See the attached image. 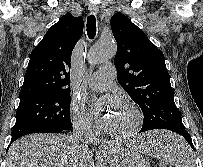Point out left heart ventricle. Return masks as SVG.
I'll return each instance as SVG.
<instances>
[{
    "label": "left heart ventricle",
    "instance_id": "left-heart-ventricle-1",
    "mask_svg": "<svg viewBox=\"0 0 203 167\" xmlns=\"http://www.w3.org/2000/svg\"><path fill=\"white\" fill-rule=\"evenodd\" d=\"M133 122V115L123 107L112 114L107 129L113 132H124L131 128Z\"/></svg>",
    "mask_w": 203,
    "mask_h": 167
}]
</instances>
